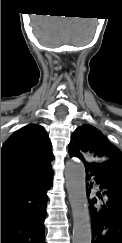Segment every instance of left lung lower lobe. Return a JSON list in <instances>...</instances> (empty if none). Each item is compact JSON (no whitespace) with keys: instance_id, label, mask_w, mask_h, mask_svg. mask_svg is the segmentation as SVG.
Masks as SVG:
<instances>
[{"instance_id":"left-lung-lower-lobe-1","label":"left lung lower lobe","mask_w":122,"mask_h":243,"mask_svg":"<svg viewBox=\"0 0 122 243\" xmlns=\"http://www.w3.org/2000/svg\"><path fill=\"white\" fill-rule=\"evenodd\" d=\"M84 163L86 179L93 176L100 188L89 201L93 226L91 243H122V162ZM90 192L87 191V196Z\"/></svg>"}]
</instances>
